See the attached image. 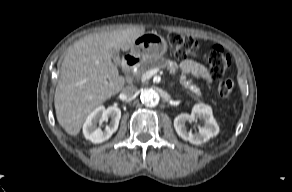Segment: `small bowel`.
I'll return each instance as SVG.
<instances>
[{
	"label": "small bowel",
	"instance_id": "1",
	"mask_svg": "<svg viewBox=\"0 0 292 192\" xmlns=\"http://www.w3.org/2000/svg\"><path fill=\"white\" fill-rule=\"evenodd\" d=\"M181 70L185 74H191L206 81L211 79L209 72L204 66L190 59L184 60L181 63Z\"/></svg>",
	"mask_w": 292,
	"mask_h": 192
}]
</instances>
